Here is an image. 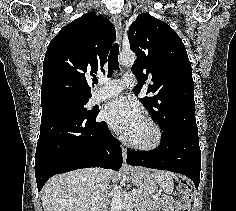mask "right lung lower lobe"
<instances>
[{"label": "right lung lower lobe", "mask_w": 236, "mask_h": 211, "mask_svg": "<svg viewBox=\"0 0 236 211\" xmlns=\"http://www.w3.org/2000/svg\"><path fill=\"white\" fill-rule=\"evenodd\" d=\"M96 117L97 113L76 116L65 111L42 114L35 154L38 191L55 174L88 167L118 170L122 166L119 142Z\"/></svg>", "instance_id": "98d812e1"}]
</instances>
